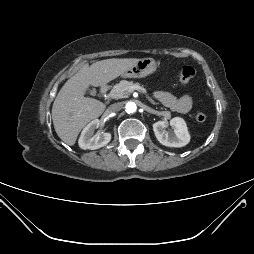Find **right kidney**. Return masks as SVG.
Listing matches in <instances>:
<instances>
[{
    "label": "right kidney",
    "mask_w": 254,
    "mask_h": 254,
    "mask_svg": "<svg viewBox=\"0 0 254 254\" xmlns=\"http://www.w3.org/2000/svg\"><path fill=\"white\" fill-rule=\"evenodd\" d=\"M100 121L95 119L91 121L81 132L78 144L81 149L95 150L107 145L111 140V134L103 132L102 135H93L94 130L99 127Z\"/></svg>",
    "instance_id": "1"
}]
</instances>
